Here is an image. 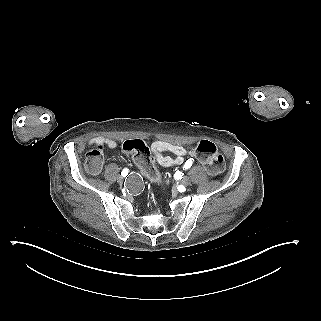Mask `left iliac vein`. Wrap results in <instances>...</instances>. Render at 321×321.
Here are the masks:
<instances>
[{"label":"left iliac vein","instance_id":"left-iliac-vein-1","mask_svg":"<svg viewBox=\"0 0 321 321\" xmlns=\"http://www.w3.org/2000/svg\"><path fill=\"white\" fill-rule=\"evenodd\" d=\"M179 183L184 186H188L191 183V179L188 176H184Z\"/></svg>","mask_w":321,"mask_h":321}]
</instances>
